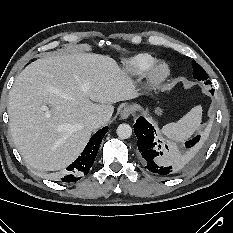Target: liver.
I'll use <instances>...</instances> for the list:
<instances>
[{
    "label": "liver",
    "mask_w": 233,
    "mask_h": 233,
    "mask_svg": "<svg viewBox=\"0 0 233 233\" xmlns=\"http://www.w3.org/2000/svg\"><path fill=\"white\" fill-rule=\"evenodd\" d=\"M135 96L133 81L108 55L73 53L38 59L16 77L9 93L15 146L35 170L65 168L91 136L86 118L97 114L107 123L112 104Z\"/></svg>",
    "instance_id": "6515ba94"
}]
</instances>
